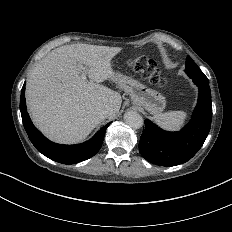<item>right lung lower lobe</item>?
Masks as SVG:
<instances>
[{"label":"right lung lower lobe","mask_w":232,"mask_h":232,"mask_svg":"<svg viewBox=\"0 0 232 232\" xmlns=\"http://www.w3.org/2000/svg\"><path fill=\"white\" fill-rule=\"evenodd\" d=\"M25 84L26 83H24L21 90L20 97L22 121L29 139L39 152L53 161L63 164H75L89 159L100 150L106 129L111 122L102 127L93 138L85 143L77 145H61L53 143L44 137L42 133L35 128L30 120L25 103Z\"/></svg>","instance_id":"98d812e1"}]
</instances>
